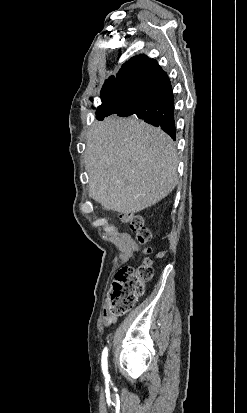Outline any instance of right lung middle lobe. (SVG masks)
<instances>
[{"label":"right lung middle lobe","instance_id":"dd1d6c3e","mask_svg":"<svg viewBox=\"0 0 247 413\" xmlns=\"http://www.w3.org/2000/svg\"><path fill=\"white\" fill-rule=\"evenodd\" d=\"M111 97L117 98H130L134 99L136 97V90L128 82L121 83H106L103 85L101 90L102 101L109 99Z\"/></svg>","mask_w":247,"mask_h":413}]
</instances>
